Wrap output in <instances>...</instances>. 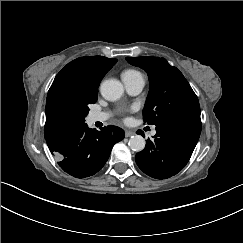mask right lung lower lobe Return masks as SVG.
<instances>
[{
	"label": "right lung lower lobe",
	"mask_w": 243,
	"mask_h": 243,
	"mask_svg": "<svg viewBox=\"0 0 243 243\" xmlns=\"http://www.w3.org/2000/svg\"><path fill=\"white\" fill-rule=\"evenodd\" d=\"M124 136V131L116 126L97 131L83 123L62 127L46 137V141L65 172L76 178H85L104 166L112 147Z\"/></svg>",
	"instance_id": "obj_1"
}]
</instances>
